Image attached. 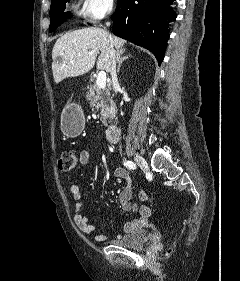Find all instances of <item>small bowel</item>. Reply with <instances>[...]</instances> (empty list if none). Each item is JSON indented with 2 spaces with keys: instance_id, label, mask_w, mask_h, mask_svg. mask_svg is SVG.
I'll return each mask as SVG.
<instances>
[{
  "instance_id": "small-bowel-1",
  "label": "small bowel",
  "mask_w": 240,
  "mask_h": 281,
  "mask_svg": "<svg viewBox=\"0 0 240 281\" xmlns=\"http://www.w3.org/2000/svg\"><path fill=\"white\" fill-rule=\"evenodd\" d=\"M91 159V153L88 150L81 151L79 154V163L81 165H87ZM115 177L123 179L126 182V186L121 190L119 194V202L125 211H135L139 214L138 218L132 221L123 223V232L118 236L122 237L125 234L132 233L136 230L143 228L148 218L151 215V209L146 205H139L132 203V180L130 178L129 172L122 168L116 167L113 170ZM70 193L75 201L73 208V219L77 227L86 235H94L96 231V226L90 223L87 216L82 214V192L78 185H72L70 187ZM141 198H146L147 194L142 192L140 194ZM97 241H103L106 239L105 235H95Z\"/></svg>"
}]
</instances>
